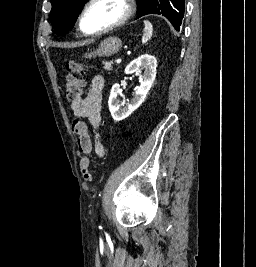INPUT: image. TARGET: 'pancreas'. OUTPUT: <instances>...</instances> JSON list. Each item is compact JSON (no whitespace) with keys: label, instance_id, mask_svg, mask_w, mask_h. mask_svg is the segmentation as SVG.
<instances>
[{"label":"pancreas","instance_id":"obj_1","mask_svg":"<svg viewBox=\"0 0 256 267\" xmlns=\"http://www.w3.org/2000/svg\"><path fill=\"white\" fill-rule=\"evenodd\" d=\"M105 70H111V64L113 62H103Z\"/></svg>","mask_w":256,"mask_h":267}]
</instances>
